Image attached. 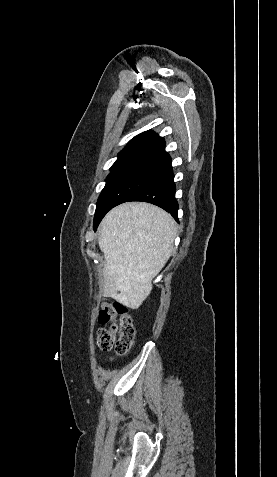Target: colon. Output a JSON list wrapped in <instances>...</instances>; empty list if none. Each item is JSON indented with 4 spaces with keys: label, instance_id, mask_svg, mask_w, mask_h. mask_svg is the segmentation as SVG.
<instances>
[{
    "label": "colon",
    "instance_id": "5ec220e1",
    "mask_svg": "<svg viewBox=\"0 0 277 477\" xmlns=\"http://www.w3.org/2000/svg\"><path fill=\"white\" fill-rule=\"evenodd\" d=\"M98 321L102 325H110L97 331V346L103 351L113 349L116 356L126 355L135 336L133 321L127 307L116 301L104 302Z\"/></svg>",
    "mask_w": 277,
    "mask_h": 477
}]
</instances>
